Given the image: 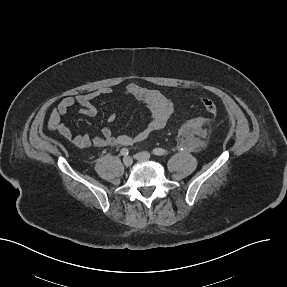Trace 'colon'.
<instances>
[{
  "label": "colon",
  "mask_w": 287,
  "mask_h": 287,
  "mask_svg": "<svg viewBox=\"0 0 287 287\" xmlns=\"http://www.w3.org/2000/svg\"><path fill=\"white\" fill-rule=\"evenodd\" d=\"M201 103L203 105V108H204L205 112L208 113L209 115H213L214 116V115H216L218 113L217 105L211 99L203 98L201 100ZM51 126H52L53 129H57V126L52 124V123H51Z\"/></svg>",
  "instance_id": "1"
}]
</instances>
